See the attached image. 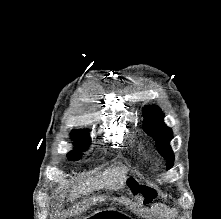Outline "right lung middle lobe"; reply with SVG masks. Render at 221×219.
Here are the masks:
<instances>
[{
    "label": "right lung middle lobe",
    "instance_id": "dd1d6c3e",
    "mask_svg": "<svg viewBox=\"0 0 221 219\" xmlns=\"http://www.w3.org/2000/svg\"><path fill=\"white\" fill-rule=\"evenodd\" d=\"M71 136L76 141V147L67 154V158L71 161H76L80 159L81 152H84L90 144L89 135L87 130H76Z\"/></svg>",
    "mask_w": 221,
    "mask_h": 219
}]
</instances>
